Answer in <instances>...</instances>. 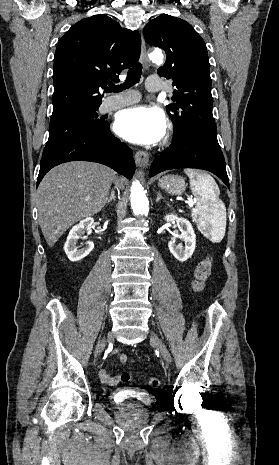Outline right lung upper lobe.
I'll return each instance as SVG.
<instances>
[{"label":"right lung upper lobe","mask_w":279,"mask_h":465,"mask_svg":"<svg viewBox=\"0 0 279 465\" xmlns=\"http://www.w3.org/2000/svg\"><path fill=\"white\" fill-rule=\"evenodd\" d=\"M140 34L106 15L74 24L60 39L54 57L53 113L56 125L97 109L100 90L139 58Z\"/></svg>","instance_id":"cb5924a9"}]
</instances>
